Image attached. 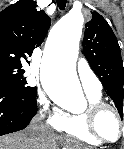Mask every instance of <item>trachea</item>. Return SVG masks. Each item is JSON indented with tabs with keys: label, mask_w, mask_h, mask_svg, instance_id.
<instances>
[{
	"label": "trachea",
	"mask_w": 124,
	"mask_h": 149,
	"mask_svg": "<svg viewBox=\"0 0 124 149\" xmlns=\"http://www.w3.org/2000/svg\"><path fill=\"white\" fill-rule=\"evenodd\" d=\"M66 0H57V6L60 10H64L66 7Z\"/></svg>",
	"instance_id": "obj_1"
}]
</instances>
